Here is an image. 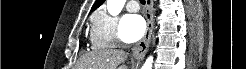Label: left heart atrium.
Returning a JSON list of instances; mask_svg holds the SVG:
<instances>
[{"label": "left heart atrium", "instance_id": "39dd6f15", "mask_svg": "<svg viewBox=\"0 0 246 69\" xmlns=\"http://www.w3.org/2000/svg\"><path fill=\"white\" fill-rule=\"evenodd\" d=\"M145 32V21L137 14H127L122 18L120 38L124 43L140 40Z\"/></svg>", "mask_w": 246, "mask_h": 69}]
</instances>
